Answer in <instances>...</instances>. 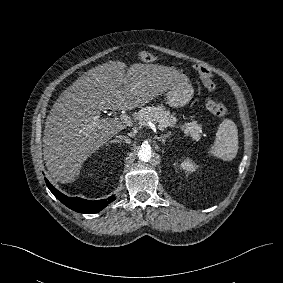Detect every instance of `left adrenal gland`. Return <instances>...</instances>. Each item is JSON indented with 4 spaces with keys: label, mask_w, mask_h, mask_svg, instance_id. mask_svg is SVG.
I'll return each instance as SVG.
<instances>
[{
    "label": "left adrenal gland",
    "mask_w": 283,
    "mask_h": 283,
    "mask_svg": "<svg viewBox=\"0 0 283 283\" xmlns=\"http://www.w3.org/2000/svg\"><path fill=\"white\" fill-rule=\"evenodd\" d=\"M171 135V133L163 134L159 137H156L158 141H161L163 144L165 143L166 139Z\"/></svg>",
    "instance_id": "1"
}]
</instances>
